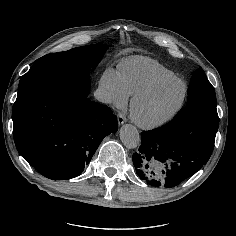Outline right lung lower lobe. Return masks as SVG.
I'll return each mask as SVG.
<instances>
[{
  "label": "right lung lower lobe",
  "mask_w": 236,
  "mask_h": 236,
  "mask_svg": "<svg viewBox=\"0 0 236 236\" xmlns=\"http://www.w3.org/2000/svg\"><path fill=\"white\" fill-rule=\"evenodd\" d=\"M89 74L34 86L12 109L19 153L43 176L71 179L82 173L103 138L118 129L109 107L90 101Z\"/></svg>",
  "instance_id": "98d812e1"
}]
</instances>
